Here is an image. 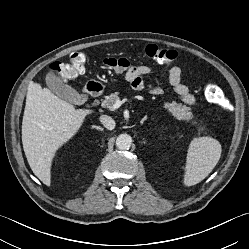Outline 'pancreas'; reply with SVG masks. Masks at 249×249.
Listing matches in <instances>:
<instances>
[{
    "mask_svg": "<svg viewBox=\"0 0 249 249\" xmlns=\"http://www.w3.org/2000/svg\"><path fill=\"white\" fill-rule=\"evenodd\" d=\"M119 100V92L112 93L109 96H106L105 100L102 101L101 105L104 108L113 110L114 103ZM164 108L170 112L174 118L177 120L190 121L193 118L191 108L176 102L165 103ZM192 124H197L196 121H192Z\"/></svg>",
    "mask_w": 249,
    "mask_h": 249,
    "instance_id": "1",
    "label": "pancreas"
}]
</instances>
